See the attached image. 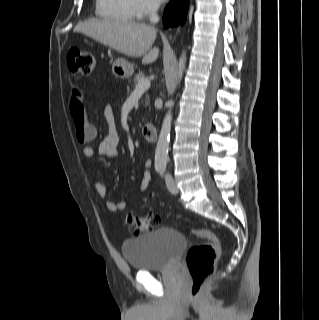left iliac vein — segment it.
I'll return each mask as SVG.
<instances>
[{
	"label": "left iliac vein",
	"mask_w": 319,
	"mask_h": 320,
	"mask_svg": "<svg viewBox=\"0 0 319 320\" xmlns=\"http://www.w3.org/2000/svg\"><path fill=\"white\" fill-rule=\"evenodd\" d=\"M166 185H167V188L168 190L172 193V194H177L179 189L176 185V182L174 181L173 178H166Z\"/></svg>",
	"instance_id": "obj_1"
}]
</instances>
